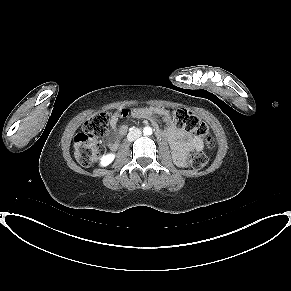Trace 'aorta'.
I'll return each instance as SVG.
<instances>
[{
	"label": "aorta",
	"mask_w": 291,
	"mask_h": 291,
	"mask_svg": "<svg viewBox=\"0 0 291 291\" xmlns=\"http://www.w3.org/2000/svg\"><path fill=\"white\" fill-rule=\"evenodd\" d=\"M144 135H151L152 134V128L150 126H146L143 128Z\"/></svg>",
	"instance_id": "1"
}]
</instances>
